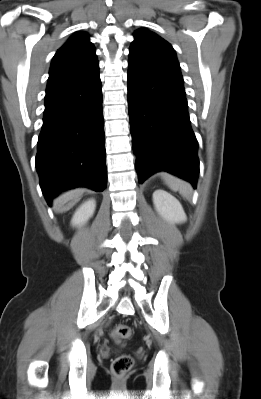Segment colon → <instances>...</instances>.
I'll use <instances>...</instances> for the list:
<instances>
[{
	"mask_svg": "<svg viewBox=\"0 0 261 399\" xmlns=\"http://www.w3.org/2000/svg\"><path fill=\"white\" fill-rule=\"evenodd\" d=\"M111 336L116 342H122L132 336V329L128 325H116L111 331ZM133 366V359L129 355L117 356L112 362V372L115 375L126 374Z\"/></svg>",
	"mask_w": 261,
	"mask_h": 399,
	"instance_id": "colon-1",
	"label": "colon"
}]
</instances>
